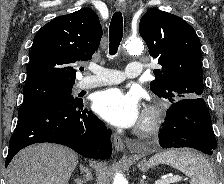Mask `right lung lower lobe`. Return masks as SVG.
Segmentation results:
<instances>
[{
  "instance_id": "98d812e1",
  "label": "right lung lower lobe",
  "mask_w": 224,
  "mask_h": 184,
  "mask_svg": "<svg viewBox=\"0 0 224 184\" xmlns=\"http://www.w3.org/2000/svg\"><path fill=\"white\" fill-rule=\"evenodd\" d=\"M110 138L111 131L83 107L82 99L70 104L34 105L18 114L5 167L22 148L41 142L66 145L85 157L107 159L111 156Z\"/></svg>"
}]
</instances>
